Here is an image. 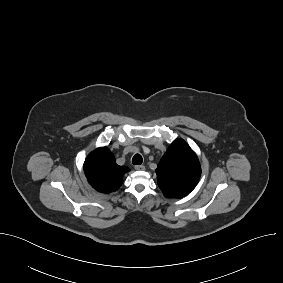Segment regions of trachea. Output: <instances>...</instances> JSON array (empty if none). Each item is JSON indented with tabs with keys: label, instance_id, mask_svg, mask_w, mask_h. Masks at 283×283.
<instances>
[{
	"label": "trachea",
	"instance_id": "trachea-1",
	"mask_svg": "<svg viewBox=\"0 0 283 283\" xmlns=\"http://www.w3.org/2000/svg\"><path fill=\"white\" fill-rule=\"evenodd\" d=\"M143 162L142 156L140 154H135L132 158V163L134 165H141Z\"/></svg>",
	"mask_w": 283,
	"mask_h": 283
}]
</instances>
